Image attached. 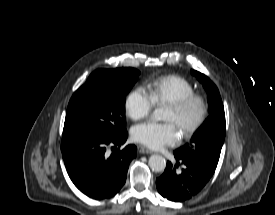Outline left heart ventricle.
I'll return each mask as SVG.
<instances>
[{
    "label": "left heart ventricle",
    "mask_w": 275,
    "mask_h": 215,
    "mask_svg": "<svg viewBox=\"0 0 275 215\" xmlns=\"http://www.w3.org/2000/svg\"><path fill=\"white\" fill-rule=\"evenodd\" d=\"M199 113V106L197 104L192 105L183 113H177L170 107H166L164 113V120L173 122L179 130L195 120Z\"/></svg>",
    "instance_id": "obj_1"
}]
</instances>
